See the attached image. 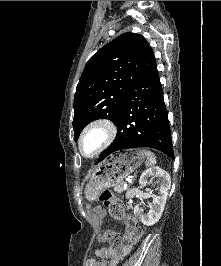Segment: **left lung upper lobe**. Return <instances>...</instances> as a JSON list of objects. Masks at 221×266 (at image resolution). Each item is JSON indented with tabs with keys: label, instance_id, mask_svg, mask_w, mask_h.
<instances>
[{
	"label": "left lung upper lobe",
	"instance_id": "1",
	"mask_svg": "<svg viewBox=\"0 0 221 266\" xmlns=\"http://www.w3.org/2000/svg\"><path fill=\"white\" fill-rule=\"evenodd\" d=\"M156 67L151 46L136 33H124L95 53L85 65L74 96V140L94 120L116 123L130 89Z\"/></svg>",
	"mask_w": 221,
	"mask_h": 266
}]
</instances>
